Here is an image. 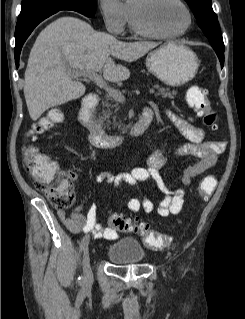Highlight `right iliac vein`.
I'll return each mask as SVG.
<instances>
[{
  "instance_id": "right-iliac-vein-1",
  "label": "right iliac vein",
  "mask_w": 245,
  "mask_h": 319,
  "mask_svg": "<svg viewBox=\"0 0 245 319\" xmlns=\"http://www.w3.org/2000/svg\"><path fill=\"white\" fill-rule=\"evenodd\" d=\"M81 243L84 245V253H83L84 283L88 285L92 281V270L90 266V257H89V251H88L89 235H85Z\"/></svg>"
}]
</instances>
